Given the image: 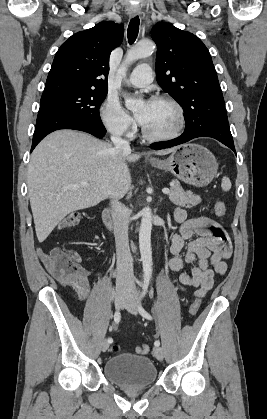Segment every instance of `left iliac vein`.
<instances>
[{"label": "left iliac vein", "instance_id": "1", "mask_svg": "<svg viewBox=\"0 0 267 419\" xmlns=\"http://www.w3.org/2000/svg\"><path fill=\"white\" fill-rule=\"evenodd\" d=\"M129 312H131L134 315L138 314V302H137V296L135 294V292H131L129 293V295L127 296L124 305H123ZM153 354L154 356L162 361L164 358V353H163V349L159 346H155L153 349Z\"/></svg>", "mask_w": 267, "mask_h": 419}]
</instances>
